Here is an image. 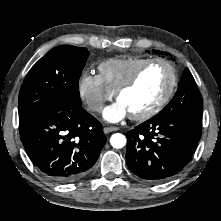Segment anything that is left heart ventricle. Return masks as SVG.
Instances as JSON below:
<instances>
[{
  "mask_svg": "<svg viewBox=\"0 0 221 221\" xmlns=\"http://www.w3.org/2000/svg\"><path fill=\"white\" fill-rule=\"evenodd\" d=\"M170 71L162 64L155 63L144 70L138 81L121 94V102L129 114H137L152 107L169 86Z\"/></svg>",
  "mask_w": 221,
  "mask_h": 221,
  "instance_id": "1",
  "label": "left heart ventricle"
}]
</instances>
